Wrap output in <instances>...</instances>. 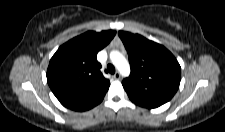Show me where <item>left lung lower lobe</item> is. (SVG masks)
Instances as JSON below:
<instances>
[{
	"mask_svg": "<svg viewBox=\"0 0 225 132\" xmlns=\"http://www.w3.org/2000/svg\"><path fill=\"white\" fill-rule=\"evenodd\" d=\"M131 101L139 106L146 107V108H156L164 104L159 102H143V101H134V100H131Z\"/></svg>",
	"mask_w": 225,
	"mask_h": 132,
	"instance_id": "0a47b994",
	"label": "left lung lower lobe"
}]
</instances>
